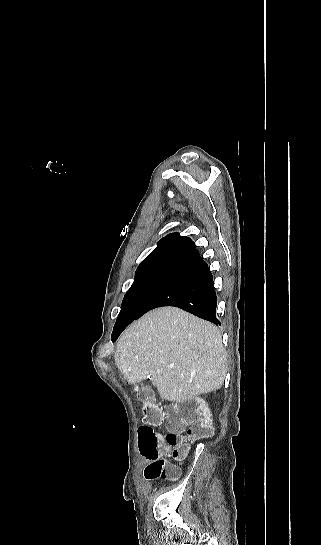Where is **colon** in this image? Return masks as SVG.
<instances>
[{"label": "colon", "mask_w": 321, "mask_h": 545, "mask_svg": "<svg viewBox=\"0 0 321 545\" xmlns=\"http://www.w3.org/2000/svg\"><path fill=\"white\" fill-rule=\"evenodd\" d=\"M138 399L143 403V424L138 429L141 453L150 460H158L159 443L161 441L155 428L163 419H168L169 433L166 436L168 445L172 448V457L183 459L188 453V440L196 441L210 437L213 425L207 410L198 403L183 402L174 407L162 410L155 401L152 391L148 388L137 389ZM187 428L186 435L183 431ZM178 473L175 467L159 461L153 478L175 479Z\"/></svg>", "instance_id": "colon-1"}]
</instances>
